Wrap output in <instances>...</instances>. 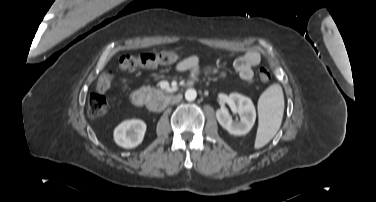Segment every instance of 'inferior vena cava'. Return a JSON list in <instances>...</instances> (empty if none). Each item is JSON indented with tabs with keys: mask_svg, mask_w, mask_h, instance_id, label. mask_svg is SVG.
<instances>
[{
	"mask_svg": "<svg viewBox=\"0 0 376 202\" xmlns=\"http://www.w3.org/2000/svg\"><path fill=\"white\" fill-rule=\"evenodd\" d=\"M181 99H182V96H181V95H176L175 97H173V99L171 100V102H172V103H177V102H179Z\"/></svg>",
	"mask_w": 376,
	"mask_h": 202,
	"instance_id": "1",
	"label": "inferior vena cava"
}]
</instances>
